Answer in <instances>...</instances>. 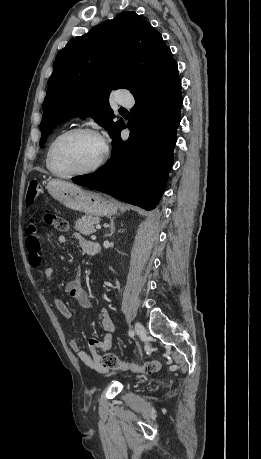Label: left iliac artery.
<instances>
[{
  "label": "left iliac artery",
  "mask_w": 261,
  "mask_h": 459,
  "mask_svg": "<svg viewBox=\"0 0 261 459\" xmlns=\"http://www.w3.org/2000/svg\"><path fill=\"white\" fill-rule=\"evenodd\" d=\"M129 336H131V337L134 336V331L133 330H129Z\"/></svg>",
  "instance_id": "44dca946"
}]
</instances>
